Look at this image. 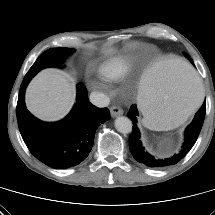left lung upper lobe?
<instances>
[{
	"label": "left lung upper lobe",
	"instance_id": "obj_1",
	"mask_svg": "<svg viewBox=\"0 0 215 215\" xmlns=\"http://www.w3.org/2000/svg\"><path fill=\"white\" fill-rule=\"evenodd\" d=\"M184 55L186 56V58H188L191 61L192 64H194L192 59L189 57V55H187L186 53H184Z\"/></svg>",
	"mask_w": 215,
	"mask_h": 215
}]
</instances>
